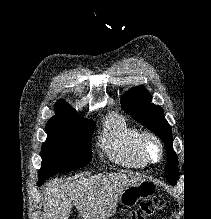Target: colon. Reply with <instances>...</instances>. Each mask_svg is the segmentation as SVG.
Returning <instances> with one entry per match:
<instances>
[{
  "instance_id": "colon-1",
  "label": "colon",
  "mask_w": 211,
  "mask_h": 219,
  "mask_svg": "<svg viewBox=\"0 0 211 219\" xmlns=\"http://www.w3.org/2000/svg\"><path fill=\"white\" fill-rule=\"evenodd\" d=\"M166 205L164 197L157 196L151 200L141 202L139 207L126 219H147L156 212L161 211Z\"/></svg>"
}]
</instances>
